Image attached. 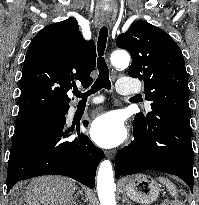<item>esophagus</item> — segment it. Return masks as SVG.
<instances>
[{"mask_svg":"<svg viewBox=\"0 0 199 205\" xmlns=\"http://www.w3.org/2000/svg\"><path fill=\"white\" fill-rule=\"evenodd\" d=\"M109 22H110V19L108 17H102L101 18V23L103 25H108ZM105 154H106L107 157L113 159L116 155V151L115 150H107V151H105Z\"/></svg>","mask_w":199,"mask_h":205,"instance_id":"1","label":"esophagus"}]
</instances>
